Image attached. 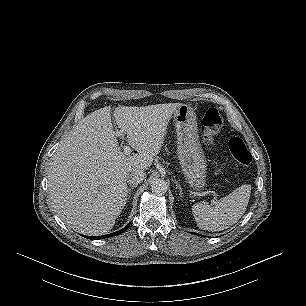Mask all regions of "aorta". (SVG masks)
<instances>
[{"instance_id":"1","label":"aorta","mask_w":306,"mask_h":306,"mask_svg":"<svg viewBox=\"0 0 306 306\" xmlns=\"http://www.w3.org/2000/svg\"><path fill=\"white\" fill-rule=\"evenodd\" d=\"M167 188V182L163 179H154L151 183L152 192L158 195L166 193Z\"/></svg>"}]
</instances>
